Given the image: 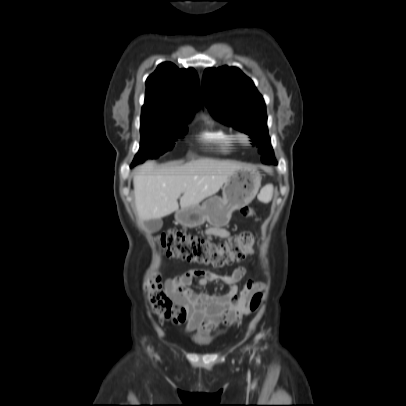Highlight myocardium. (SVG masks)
Instances as JSON below:
<instances>
[{"mask_svg":"<svg viewBox=\"0 0 406 406\" xmlns=\"http://www.w3.org/2000/svg\"><path fill=\"white\" fill-rule=\"evenodd\" d=\"M235 136L237 141L243 145H248L250 143L251 137L246 132L243 131L238 132Z\"/></svg>","mask_w":406,"mask_h":406,"instance_id":"1","label":"myocardium"}]
</instances>
